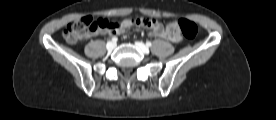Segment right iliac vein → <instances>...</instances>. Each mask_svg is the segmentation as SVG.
I'll use <instances>...</instances> for the list:
<instances>
[{
	"instance_id": "right-iliac-vein-1",
	"label": "right iliac vein",
	"mask_w": 276,
	"mask_h": 120,
	"mask_svg": "<svg viewBox=\"0 0 276 120\" xmlns=\"http://www.w3.org/2000/svg\"><path fill=\"white\" fill-rule=\"evenodd\" d=\"M106 48L108 51H113L116 48V43L115 42H108L106 45Z\"/></svg>"
}]
</instances>
